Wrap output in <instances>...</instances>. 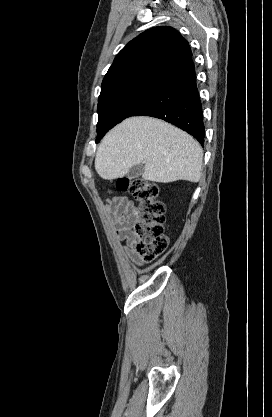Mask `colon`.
I'll use <instances>...</instances> for the list:
<instances>
[{
	"label": "colon",
	"mask_w": 272,
	"mask_h": 417,
	"mask_svg": "<svg viewBox=\"0 0 272 417\" xmlns=\"http://www.w3.org/2000/svg\"><path fill=\"white\" fill-rule=\"evenodd\" d=\"M117 188L129 191L138 203L131 231L135 248L145 262L160 256L168 246L165 234V205L159 199L158 186L143 178H122Z\"/></svg>",
	"instance_id": "colon-1"
}]
</instances>
